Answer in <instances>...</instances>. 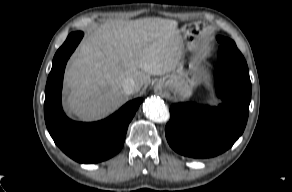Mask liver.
I'll list each match as a JSON object with an SVG mask.
<instances>
[{
  "label": "liver",
  "instance_id": "6515ba94",
  "mask_svg": "<svg viewBox=\"0 0 292 192\" xmlns=\"http://www.w3.org/2000/svg\"><path fill=\"white\" fill-rule=\"evenodd\" d=\"M183 58L184 42L175 20L104 23L86 37L69 63L67 109L81 120L100 119L127 100L124 79H133L138 93L151 75L174 71Z\"/></svg>",
  "mask_w": 292,
  "mask_h": 192
}]
</instances>
